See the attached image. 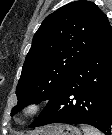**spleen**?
I'll use <instances>...</instances> for the list:
<instances>
[{"label":"spleen","instance_id":"1","mask_svg":"<svg viewBox=\"0 0 112 135\" xmlns=\"http://www.w3.org/2000/svg\"><path fill=\"white\" fill-rule=\"evenodd\" d=\"M84 135H102L98 130L90 126L83 127Z\"/></svg>","mask_w":112,"mask_h":135}]
</instances>
